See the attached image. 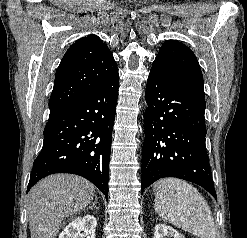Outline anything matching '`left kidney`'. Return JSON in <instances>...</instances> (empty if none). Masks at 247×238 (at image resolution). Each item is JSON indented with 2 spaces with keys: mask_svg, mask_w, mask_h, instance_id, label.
<instances>
[{
  "mask_svg": "<svg viewBox=\"0 0 247 238\" xmlns=\"http://www.w3.org/2000/svg\"><path fill=\"white\" fill-rule=\"evenodd\" d=\"M173 237V238H185L183 235L178 233L175 229L170 226H166L163 224H158L155 226L154 238H165V237Z\"/></svg>",
  "mask_w": 247,
  "mask_h": 238,
  "instance_id": "1",
  "label": "left kidney"
}]
</instances>
